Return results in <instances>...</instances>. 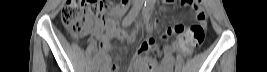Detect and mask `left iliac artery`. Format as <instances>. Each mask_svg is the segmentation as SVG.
I'll use <instances>...</instances> for the list:
<instances>
[{"instance_id": "44dca946", "label": "left iliac artery", "mask_w": 267, "mask_h": 72, "mask_svg": "<svg viewBox=\"0 0 267 72\" xmlns=\"http://www.w3.org/2000/svg\"><path fill=\"white\" fill-rule=\"evenodd\" d=\"M151 6H152V3L150 1H146L144 4V8H143V15L147 23L149 22V11H150Z\"/></svg>"}]
</instances>
